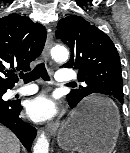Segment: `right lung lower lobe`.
Returning <instances> with one entry per match:
<instances>
[{
  "label": "right lung lower lobe",
  "instance_id": "1",
  "mask_svg": "<svg viewBox=\"0 0 130 153\" xmlns=\"http://www.w3.org/2000/svg\"><path fill=\"white\" fill-rule=\"evenodd\" d=\"M7 89H0V123L8 127L30 151L36 136V129L19 117L22 109L17 101H4L2 95Z\"/></svg>",
  "mask_w": 130,
  "mask_h": 153
}]
</instances>
